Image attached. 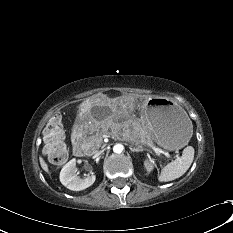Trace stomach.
<instances>
[{
  "instance_id": "obj_1",
  "label": "stomach",
  "mask_w": 233,
  "mask_h": 233,
  "mask_svg": "<svg viewBox=\"0 0 233 233\" xmlns=\"http://www.w3.org/2000/svg\"><path fill=\"white\" fill-rule=\"evenodd\" d=\"M117 104L91 98L81 105V116L86 121L104 122L120 112ZM145 119L153 139L166 150L185 146L193 131L191 120L185 111L172 101L156 97L148 100L144 108Z\"/></svg>"
}]
</instances>
